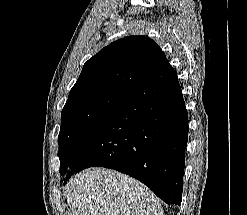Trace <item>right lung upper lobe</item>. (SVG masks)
<instances>
[{
  "mask_svg": "<svg viewBox=\"0 0 247 215\" xmlns=\"http://www.w3.org/2000/svg\"><path fill=\"white\" fill-rule=\"evenodd\" d=\"M166 56L150 38L119 39L90 58L70 92L86 89H134L165 62Z\"/></svg>",
  "mask_w": 247,
  "mask_h": 215,
  "instance_id": "1",
  "label": "right lung upper lobe"
}]
</instances>
